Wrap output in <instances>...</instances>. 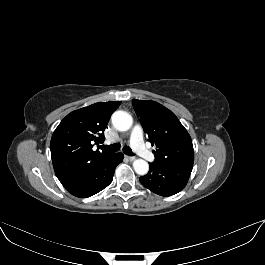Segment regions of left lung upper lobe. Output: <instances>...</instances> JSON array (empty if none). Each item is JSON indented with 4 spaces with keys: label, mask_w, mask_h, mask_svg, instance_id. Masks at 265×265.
I'll return each instance as SVG.
<instances>
[{
    "label": "left lung upper lobe",
    "mask_w": 265,
    "mask_h": 265,
    "mask_svg": "<svg viewBox=\"0 0 265 265\" xmlns=\"http://www.w3.org/2000/svg\"><path fill=\"white\" fill-rule=\"evenodd\" d=\"M148 140L158 149L154 151L156 165H192L194 150L190 135L176 115L151 100H132Z\"/></svg>",
    "instance_id": "left-lung-upper-lobe-1"
}]
</instances>
